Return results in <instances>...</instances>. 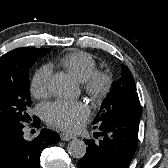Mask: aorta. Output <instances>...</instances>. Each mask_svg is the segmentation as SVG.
Wrapping results in <instances>:
<instances>
[{
    "mask_svg": "<svg viewBox=\"0 0 168 168\" xmlns=\"http://www.w3.org/2000/svg\"><path fill=\"white\" fill-rule=\"evenodd\" d=\"M51 92L59 98H69L74 95L76 83L65 73H56L50 81ZM86 144L83 140L73 139L68 143L67 151L73 158L81 159L86 153Z\"/></svg>",
    "mask_w": 168,
    "mask_h": 168,
    "instance_id": "obj_1",
    "label": "aorta"
}]
</instances>
